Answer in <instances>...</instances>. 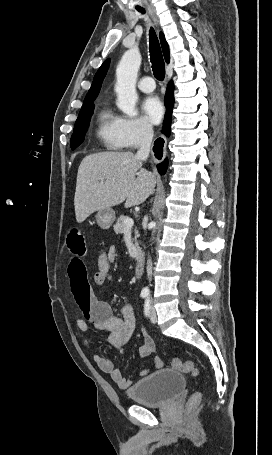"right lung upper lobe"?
Listing matches in <instances>:
<instances>
[{"mask_svg": "<svg viewBox=\"0 0 272 455\" xmlns=\"http://www.w3.org/2000/svg\"><path fill=\"white\" fill-rule=\"evenodd\" d=\"M160 41H161L162 50H163V54H164L165 60H166L167 63H169L170 62L169 47H168V44H167V42L165 40V37H164L163 33H160ZM109 63H110V59H107L101 65V67L98 69L97 73L94 76L91 88L89 89L83 104L88 103V102H92V101L94 102V100L98 96L99 91L101 89V85H102L103 79H104V77H105V75L107 73V70H108V67H109Z\"/></svg>", "mask_w": 272, "mask_h": 455, "instance_id": "right-lung-upper-lobe-1", "label": "right lung upper lobe"}]
</instances>
